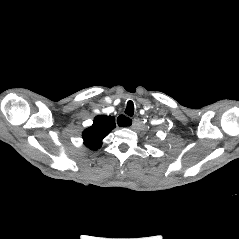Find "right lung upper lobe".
<instances>
[{
  "label": "right lung upper lobe",
  "mask_w": 239,
  "mask_h": 239,
  "mask_svg": "<svg viewBox=\"0 0 239 239\" xmlns=\"http://www.w3.org/2000/svg\"><path fill=\"white\" fill-rule=\"evenodd\" d=\"M115 119L112 116H96L93 125L86 129L82 136L84 143L92 150H97L102 146V139L115 128Z\"/></svg>",
  "instance_id": "cb5924a9"
}]
</instances>
